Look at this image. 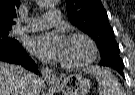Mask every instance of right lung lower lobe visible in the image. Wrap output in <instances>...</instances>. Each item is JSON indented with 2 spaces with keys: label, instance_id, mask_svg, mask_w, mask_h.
Here are the masks:
<instances>
[{
  "label": "right lung lower lobe",
  "instance_id": "1",
  "mask_svg": "<svg viewBox=\"0 0 135 95\" xmlns=\"http://www.w3.org/2000/svg\"><path fill=\"white\" fill-rule=\"evenodd\" d=\"M0 60L8 63L20 64L26 69L38 73L34 61L27 55L19 42L12 46L0 47Z\"/></svg>",
  "mask_w": 135,
  "mask_h": 95
}]
</instances>
